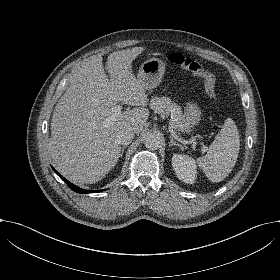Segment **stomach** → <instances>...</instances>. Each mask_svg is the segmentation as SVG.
<instances>
[{
  "mask_svg": "<svg viewBox=\"0 0 280 280\" xmlns=\"http://www.w3.org/2000/svg\"><path fill=\"white\" fill-rule=\"evenodd\" d=\"M165 73V64L158 58H151L142 63L137 74V80L144 85L146 90L157 87ZM185 130L191 132L201 120V109L196 103L188 102L184 109Z\"/></svg>",
  "mask_w": 280,
  "mask_h": 280,
  "instance_id": "0dacf381",
  "label": "stomach"
}]
</instances>
